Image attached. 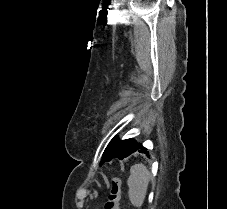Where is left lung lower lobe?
Wrapping results in <instances>:
<instances>
[{
  "mask_svg": "<svg viewBox=\"0 0 227 209\" xmlns=\"http://www.w3.org/2000/svg\"><path fill=\"white\" fill-rule=\"evenodd\" d=\"M141 149V150H140ZM142 150H146V148H144L141 144H137L136 142L133 143L131 149L129 151H127L122 158L120 159H123L127 156H129L130 154H132L133 152L135 151H139V152H142V153H145V154H148L147 151H142Z\"/></svg>",
  "mask_w": 227,
  "mask_h": 209,
  "instance_id": "1",
  "label": "left lung lower lobe"
}]
</instances>
